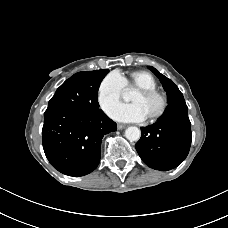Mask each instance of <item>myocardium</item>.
<instances>
[{
    "instance_id": "obj_1",
    "label": "myocardium",
    "mask_w": 228,
    "mask_h": 228,
    "mask_svg": "<svg viewBox=\"0 0 228 228\" xmlns=\"http://www.w3.org/2000/svg\"><path fill=\"white\" fill-rule=\"evenodd\" d=\"M136 92L140 93L144 97H157L160 100V107L156 113L147 117L149 121H156L164 115L168 107V98L166 94L158 89L151 88H139Z\"/></svg>"
}]
</instances>
